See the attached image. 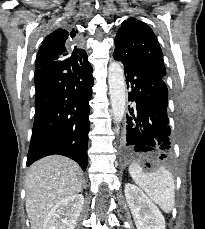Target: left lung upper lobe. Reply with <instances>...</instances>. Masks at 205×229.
<instances>
[{
  "label": "left lung upper lobe",
  "instance_id": "1",
  "mask_svg": "<svg viewBox=\"0 0 205 229\" xmlns=\"http://www.w3.org/2000/svg\"><path fill=\"white\" fill-rule=\"evenodd\" d=\"M115 52L165 78L163 55L152 29L135 18L122 22L115 37Z\"/></svg>",
  "mask_w": 205,
  "mask_h": 229
}]
</instances>
